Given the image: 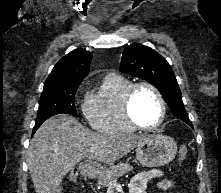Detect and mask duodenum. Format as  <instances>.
Instances as JSON below:
<instances>
[{"label": "duodenum", "mask_w": 221, "mask_h": 193, "mask_svg": "<svg viewBox=\"0 0 221 193\" xmlns=\"http://www.w3.org/2000/svg\"><path fill=\"white\" fill-rule=\"evenodd\" d=\"M82 170L85 174H90V171H91V165L88 164V163H84L82 165Z\"/></svg>", "instance_id": "duodenum-1"}]
</instances>
